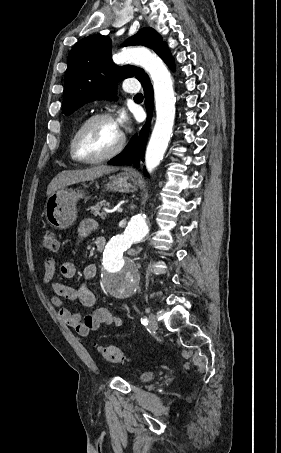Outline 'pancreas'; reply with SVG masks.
Here are the masks:
<instances>
[{
  "label": "pancreas",
  "mask_w": 281,
  "mask_h": 453,
  "mask_svg": "<svg viewBox=\"0 0 281 453\" xmlns=\"http://www.w3.org/2000/svg\"><path fill=\"white\" fill-rule=\"evenodd\" d=\"M109 208L110 204H103V202H97V204H93V206H90V210L93 214V216H101V218H105L107 216L108 212L106 210H103V208ZM101 210V212H100Z\"/></svg>",
  "instance_id": "obj_1"
}]
</instances>
